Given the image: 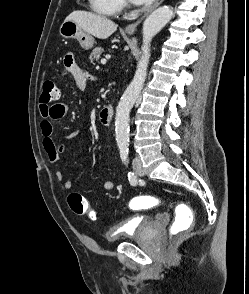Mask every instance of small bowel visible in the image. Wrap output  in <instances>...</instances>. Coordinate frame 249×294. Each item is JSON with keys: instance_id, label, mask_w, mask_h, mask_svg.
<instances>
[{"instance_id": "c3829d8e", "label": "small bowel", "mask_w": 249, "mask_h": 294, "mask_svg": "<svg viewBox=\"0 0 249 294\" xmlns=\"http://www.w3.org/2000/svg\"><path fill=\"white\" fill-rule=\"evenodd\" d=\"M63 67L64 71L71 75L75 86L78 89H84L87 80L90 79V76L75 63L72 54L66 55ZM67 112L68 105L64 102H57L53 104L41 103L39 106V127L43 136L44 150L51 163H57L60 160L61 153L65 151V146L59 145L55 141V124L63 119ZM81 134L82 132L80 130H76L63 137L67 140H72ZM54 175L62 190L67 191L71 189L73 180L71 178H65L62 170L57 169ZM103 187L106 191H112L115 189L116 184L115 182L108 180L104 182Z\"/></svg>"}]
</instances>
